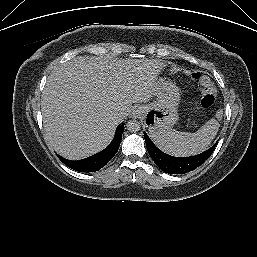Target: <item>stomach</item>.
I'll list each match as a JSON object with an SVG mask.
<instances>
[{
    "label": "stomach",
    "instance_id": "1",
    "mask_svg": "<svg viewBox=\"0 0 257 257\" xmlns=\"http://www.w3.org/2000/svg\"><path fill=\"white\" fill-rule=\"evenodd\" d=\"M154 96V103L134 109L135 114L138 110L141 111L140 116L150 132L170 128L178 120L180 91L176 84L162 78L157 79Z\"/></svg>",
    "mask_w": 257,
    "mask_h": 257
}]
</instances>
